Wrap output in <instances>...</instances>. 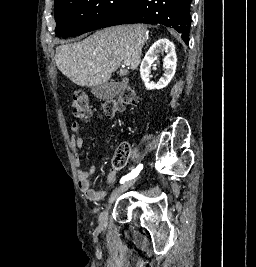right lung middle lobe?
I'll return each mask as SVG.
<instances>
[{"mask_svg": "<svg viewBox=\"0 0 256 267\" xmlns=\"http://www.w3.org/2000/svg\"><path fill=\"white\" fill-rule=\"evenodd\" d=\"M135 0H58L55 2L56 35L77 36L102 28Z\"/></svg>", "mask_w": 256, "mask_h": 267, "instance_id": "right-lung-middle-lobe-1", "label": "right lung middle lobe"}]
</instances>
